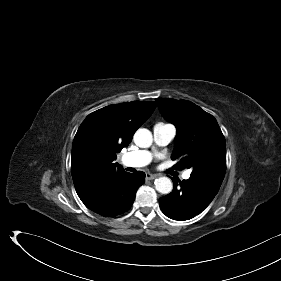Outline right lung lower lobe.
Segmentation results:
<instances>
[{"label": "right lung lower lobe", "mask_w": 281, "mask_h": 281, "mask_svg": "<svg viewBox=\"0 0 281 281\" xmlns=\"http://www.w3.org/2000/svg\"><path fill=\"white\" fill-rule=\"evenodd\" d=\"M145 182V173L124 171L99 183L80 199L87 208L102 216H117L127 211L135 200L137 189Z\"/></svg>", "instance_id": "98d812e1"}]
</instances>
